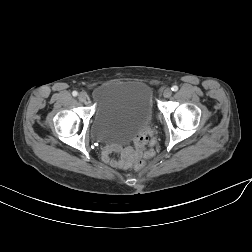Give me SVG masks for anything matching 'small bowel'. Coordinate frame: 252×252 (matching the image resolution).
I'll list each match as a JSON object with an SVG mask.
<instances>
[{"label": "small bowel", "instance_id": "small-bowel-1", "mask_svg": "<svg viewBox=\"0 0 252 252\" xmlns=\"http://www.w3.org/2000/svg\"><path fill=\"white\" fill-rule=\"evenodd\" d=\"M147 136L138 135L134 140V148L125 147L122 149H114L113 151L119 155V158L113 159L109 156L110 152L106 151L104 159L107 163L114 167L126 168L131 166L134 160L140 158L146 148Z\"/></svg>", "mask_w": 252, "mask_h": 252}]
</instances>
